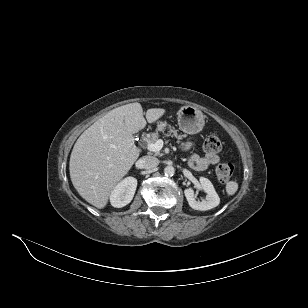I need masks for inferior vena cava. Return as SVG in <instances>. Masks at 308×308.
Segmentation results:
<instances>
[{
    "label": "inferior vena cava",
    "instance_id": "1",
    "mask_svg": "<svg viewBox=\"0 0 308 308\" xmlns=\"http://www.w3.org/2000/svg\"><path fill=\"white\" fill-rule=\"evenodd\" d=\"M140 163L144 169H154L158 166L159 160L154 156H144L140 159Z\"/></svg>",
    "mask_w": 308,
    "mask_h": 308
}]
</instances>
